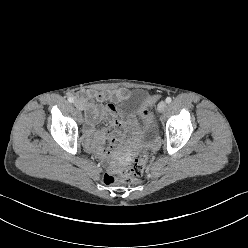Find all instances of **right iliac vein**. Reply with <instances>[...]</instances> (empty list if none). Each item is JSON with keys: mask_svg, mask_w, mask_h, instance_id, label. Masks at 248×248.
<instances>
[{"mask_svg": "<svg viewBox=\"0 0 248 248\" xmlns=\"http://www.w3.org/2000/svg\"><path fill=\"white\" fill-rule=\"evenodd\" d=\"M74 105H75V107L78 109V110H83L84 109V104H83V102L82 101H80V100H75L74 101Z\"/></svg>", "mask_w": 248, "mask_h": 248, "instance_id": "63e3f726", "label": "right iliac vein"}]
</instances>
